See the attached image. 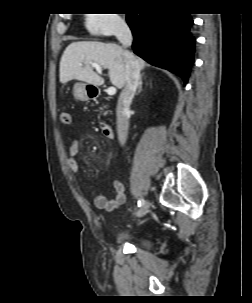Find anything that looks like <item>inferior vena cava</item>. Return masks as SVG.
<instances>
[{
    "label": "inferior vena cava",
    "instance_id": "inferior-vena-cava-1",
    "mask_svg": "<svg viewBox=\"0 0 252 303\" xmlns=\"http://www.w3.org/2000/svg\"><path fill=\"white\" fill-rule=\"evenodd\" d=\"M116 37L124 48H127L132 44V33L125 22H120L117 25ZM124 55L126 67L125 85L120 93L116 109L117 134L121 145H124L127 140L129 108L140 79V68L137 60L127 50L124 51Z\"/></svg>",
    "mask_w": 252,
    "mask_h": 303
}]
</instances>
